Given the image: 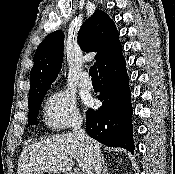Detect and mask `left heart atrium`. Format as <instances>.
<instances>
[{"instance_id": "39dd6f15", "label": "left heart atrium", "mask_w": 175, "mask_h": 174, "mask_svg": "<svg viewBox=\"0 0 175 174\" xmlns=\"http://www.w3.org/2000/svg\"><path fill=\"white\" fill-rule=\"evenodd\" d=\"M86 103H87V104H90V103H91V99H87V100H86Z\"/></svg>"}]
</instances>
